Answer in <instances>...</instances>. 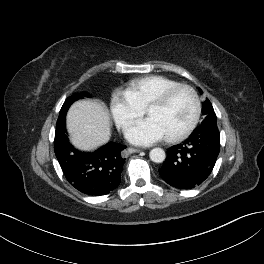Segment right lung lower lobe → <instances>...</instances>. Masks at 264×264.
I'll list each match as a JSON object with an SVG mask.
<instances>
[{"label": "right lung lower lobe", "instance_id": "right-lung-lower-lobe-1", "mask_svg": "<svg viewBox=\"0 0 264 264\" xmlns=\"http://www.w3.org/2000/svg\"><path fill=\"white\" fill-rule=\"evenodd\" d=\"M125 148L109 142L93 153H82L69 143L65 125L55 132L54 151L66 179L87 195H106L119 185Z\"/></svg>", "mask_w": 264, "mask_h": 264}]
</instances>
